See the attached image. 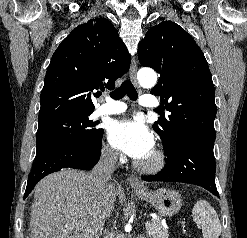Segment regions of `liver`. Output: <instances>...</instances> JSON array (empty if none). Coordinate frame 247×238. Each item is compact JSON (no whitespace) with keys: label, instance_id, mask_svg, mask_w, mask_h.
Masks as SVG:
<instances>
[{"label":"liver","instance_id":"6515ba94","mask_svg":"<svg viewBox=\"0 0 247 238\" xmlns=\"http://www.w3.org/2000/svg\"><path fill=\"white\" fill-rule=\"evenodd\" d=\"M116 196L115 185L99 190L84 171L52 173L34 189L31 238H99Z\"/></svg>","mask_w":247,"mask_h":238}]
</instances>
